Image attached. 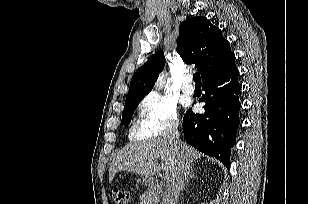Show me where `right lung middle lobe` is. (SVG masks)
Instances as JSON below:
<instances>
[{"mask_svg":"<svg viewBox=\"0 0 309 204\" xmlns=\"http://www.w3.org/2000/svg\"><path fill=\"white\" fill-rule=\"evenodd\" d=\"M141 100L142 98L131 99V100L126 101L125 106H124V111L122 114V125H127L130 123L132 115Z\"/></svg>","mask_w":309,"mask_h":204,"instance_id":"right-lung-middle-lobe-1","label":"right lung middle lobe"}]
</instances>
